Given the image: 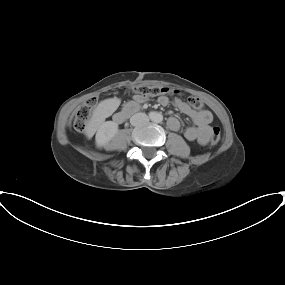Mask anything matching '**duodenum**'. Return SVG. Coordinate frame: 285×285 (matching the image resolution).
Instances as JSON below:
<instances>
[{"instance_id": "obj_1", "label": "duodenum", "mask_w": 285, "mask_h": 285, "mask_svg": "<svg viewBox=\"0 0 285 285\" xmlns=\"http://www.w3.org/2000/svg\"><path fill=\"white\" fill-rule=\"evenodd\" d=\"M137 110H138L137 105L133 103L127 104L120 112H118L115 115L116 122L118 123L125 122L128 119V117L134 114Z\"/></svg>"}]
</instances>
